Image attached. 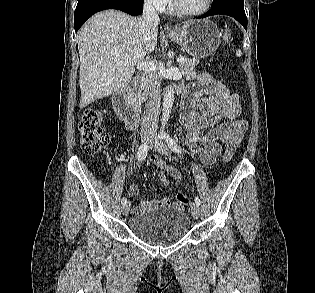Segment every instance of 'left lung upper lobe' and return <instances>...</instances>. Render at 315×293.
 Masks as SVG:
<instances>
[{"instance_id": "1", "label": "left lung upper lobe", "mask_w": 315, "mask_h": 293, "mask_svg": "<svg viewBox=\"0 0 315 293\" xmlns=\"http://www.w3.org/2000/svg\"><path fill=\"white\" fill-rule=\"evenodd\" d=\"M227 3L244 5V0H214L212 8H215L217 6H220V5H223V4H227Z\"/></svg>"}]
</instances>
